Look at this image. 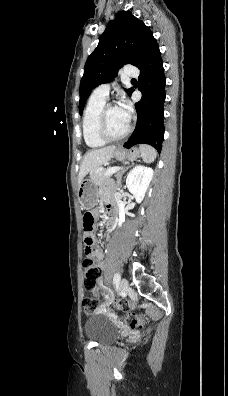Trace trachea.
<instances>
[{
  "instance_id": "3493384b",
  "label": "trachea",
  "mask_w": 228,
  "mask_h": 396,
  "mask_svg": "<svg viewBox=\"0 0 228 396\" xmlns=\"http://www.w3.org/2000/svg\"><path fill=\"white\" fill-rule=\"evenodd\" d=\"M131 81H136L135 79H132Z\"/></svg>"
}]
</instances>
